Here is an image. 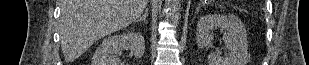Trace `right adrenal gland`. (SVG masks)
Listing matches in <instances>:
<instances>
[{"instance_id":"1","label":"right adrenal gland","mask_w":309,"mask_h":65,"mask_svg":"<svg viewBox=\"0 0 309 65\" xmlns=\"http://www.w3.org/2000/svg\"><path fill=\"white\" fill-rule=\"evenodd\" d=\"M148 11H149V9L146 8L144 14L142 15V17H140V18L137 20V22H144V23H145V21H146V19H147V17H148Z\"/></svg>"}]
</instances>
